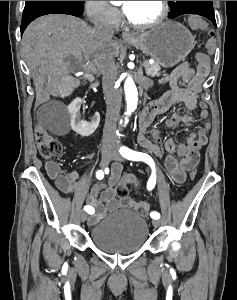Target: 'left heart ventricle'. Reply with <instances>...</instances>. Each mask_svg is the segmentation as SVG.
I'll use <instances>...</instances> for the list:
<instances>
[{
  "mask_svg": "<svg viewBox=\"0 0 237 300\" xmlns=\"http://www.w3.org/2000/svg\"><path fill=\"white\" fill-rule=\"evenodd\" d=\"M161 12L160 1H131L125 11L136 23L145 24L154 21Z\"/></svg>",
  "mask_w": 237,
  "mask_h": 300,
  "instance_id": "b2bd125f",
  "label": "left heart ventricle"
}]
</instances>
